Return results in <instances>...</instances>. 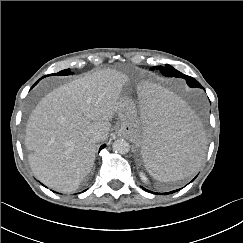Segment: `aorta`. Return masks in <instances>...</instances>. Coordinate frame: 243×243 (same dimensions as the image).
Masks as SVG:
<instances>
[{"label":"aorta","mask_w":243,"mask_h":243,"mask_svg":"<svg viewBox=\"0 0 243 243\" xmlns=\"http://www.w3.org/2000/svg\"><path fill=\"white\" fill-rule=\"evenodd\" d=\"M112 148L116 153L126 154L130 150V145L126 140L118 139L114 141Z\"/></svg>","instance_id":"aorta-1"}]
</instances>
